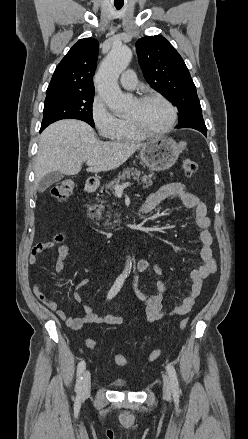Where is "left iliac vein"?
Listing matches in <instances>:
<instances>
[{"instance_id": "1", "label": "left iliac vein", "mask_w": 248, "mask_h": 439, "mask_svg": "<svg viewBox=\"0 0 248 439\" xmlns=\"http://www.w3.org/2000/svg\"><path fill=\"white\" fill-rule=\"evenodd\" d=\"M163 394L165 398L170 399L171 397V385L168 376L163 377Z\"/></svg>"}]
</instances>
